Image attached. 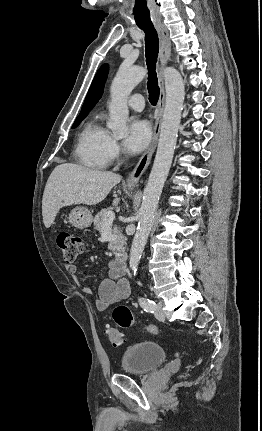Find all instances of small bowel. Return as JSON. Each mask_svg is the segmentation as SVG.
I'll return each instance as SVG.
<instances>
[{
	"label": "small bowel",
	"mask_w": 262,
	"mask_h": 431,
	"mask_svg": "<svg viewBox=\"0 0 262 431\" xmlns=\"http://www.w3.org/2000/svg\"><path fill=\"white\" fill-rule=\"evenodd\" d=\"M66 270L83 294H92L91 289L83 284L79 278L77 268L74 264L66 265ZM126 270V264L120 262L118 259L110 261L108 265V277L101 282L98 288V294L95 301L98 310L104 311L110 305L120 302L129 296V284L124 278Z\"/></svg>",
	"instance_id": "small-bowel-1"
}]
</instances>
